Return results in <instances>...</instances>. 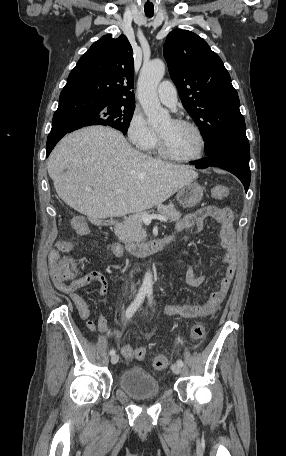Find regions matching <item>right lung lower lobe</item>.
<instances>
[{
  "instance_id": "right-lung-lower-lobe-1",
  "label": "right lung lower lobe",
  "mask_w": 286,
  "mask_h": 456,
  "mask_svg": "<svg viewBox=\"0 0 286 456\" xmlns=\"http://www.w3.org/2000/svg\"><path fill=\"white\" fill-rule=\"evenodd\" d=\"M85 94L73 90L62 91L59 97V106L53 116L52 129L47 138L46 157L56 143L66 134L76 130L78 108L86 100Z\"/></svg>"
}]
</instances>
